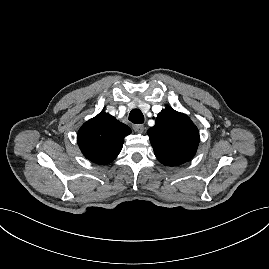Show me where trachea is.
Here are the masks:
<instances>
[{
  "label": "trachea",
  "mask_w": 269,
  "mask_h": 269,
  "mask_svg": "<svg viewBox=\"0 0 269 269\" xmlns=\"http://www.w3.org/2000/svg\"><path fill=\"white\" fill-rule=\"evenodd\" d=\"M129 120L135 124L144 123V116L139 109H133L129 114Z\"/></svg>",
  "instance_id": "trachea-1"
}]
</instances>
